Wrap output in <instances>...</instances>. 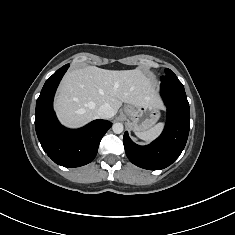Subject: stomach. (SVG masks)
<instances>
[{"label": "stomach", "mask_w": 235, "mask_h": 235, "mask_svg": "<svg viewBox=\"0 0 235 235\" xmlns=\"http://www.w3.org/2000/svg\"><path fill=\"white\" fill-rule=\"evenodd\" d=\"M124 113L128 118L130 128L136 132H143L151 128L160 118V107L154 104L140 106L126 105Z\"/></svg>", "instance_id": "1"}]
</instances>
